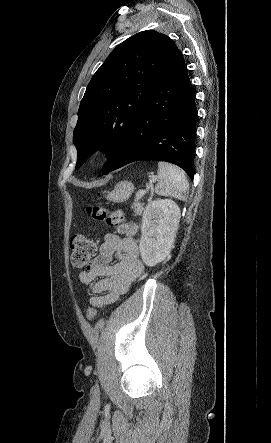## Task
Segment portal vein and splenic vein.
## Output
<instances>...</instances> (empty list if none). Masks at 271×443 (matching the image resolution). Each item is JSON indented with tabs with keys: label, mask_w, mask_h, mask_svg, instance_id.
Listing matches in <instances>:
<instances>
[{
	"label": "portal vein and splenic vein",
	"mask_w": 271,
	"mask_h": 443,
	"mask_svg": "<svg viewBox=\"0 0 271 443\" xmlns=\"http://www.w3.org/2000/svg\"><path fill=\"white\" fill-rule=\"evenodd\" d=\"M150 182H157V178H151ZM152 185L150 183H147L145 187H142L139 189V191L136 194L137 200H142L146 196V194L151 190Z\"/></svg>",
	"instance_id": "portal-vein-and-splenic-vein-1"
}]
</instances>
